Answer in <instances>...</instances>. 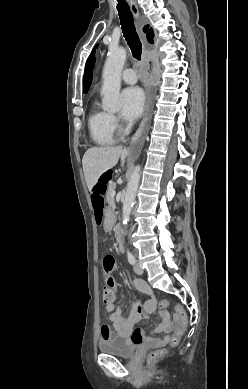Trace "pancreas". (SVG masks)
I'll use <instances>...</instances> for the list:
<instances>
[{
	"instance_id": "1",
	"label": "pancreas",
	"mask_w": 248,
	"mask_h": 389,
	"mask_svg": "<svg viewBox=\"0 0 248 389\" xmlns=\"http://www.w3.org/2000/svg\"><path fill=\"white\" fill-rule=\"evenodd\" d=\"M115 188H116V183L110 182L106 194V202L108 203L109 208L114 207V197L112 196V193L115 191Z\"/></svg>"
}]
</instances>
